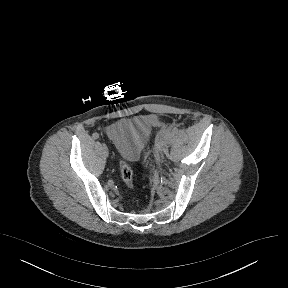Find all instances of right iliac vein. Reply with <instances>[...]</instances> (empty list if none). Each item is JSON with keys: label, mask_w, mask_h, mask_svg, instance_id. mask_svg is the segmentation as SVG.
Masks as SVG:
<instances>
[{"label": "right iliac vein", "mask_w": 288, "mask_h": 288, "mask_svg": "<svg viewBox=\"0 0 288 288\" xmlns=\"http://www.w3.org/2000/svg\"><path fill=\"white\" fill-rule=\"evenodd\" d=\"M103 150H104V153L108 156L109 151H108V147L105 144H103Z\"/></svg>", "instance_id": "1"}]
</instances>
